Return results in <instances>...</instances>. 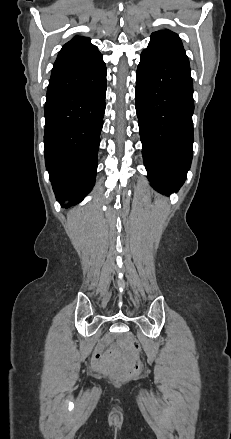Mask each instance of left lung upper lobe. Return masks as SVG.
Wrapping results in <instances>:
<instances>
[{
	"instance_id": "5c2ea615",
	"label": "left lung upper lobe",
	"mask_w": 231,
	"mask_h": 439,
	"mask_svg": "<svg viewBox=\"0 0 231 439\" xmlns=\"http://www.w3.org/2000/svg\"><path fill=\"white\" fill-rule=\"evenodd\" d=\"M146 49L188 60L181 39L170 30H159L152 33Z\"/></svg>"
}]
</instances>
